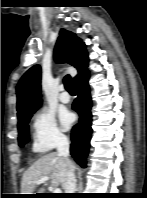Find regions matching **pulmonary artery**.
<instances>
[{
    "label": "pulmonary artery",
    "instance_id": "obj_1",
    "mask_svg": "<svg viewBox=\"0 0 147 198\" xmlns=\"http://www.w3.org/2000/svg\"><path fill=\"white\" fill-rule=\"evenodd\" d=\"M59 100L62 103H69L70 102V95L68 92L65 91L64 87L60 88Z\"/></svg>",
    "mask_w": 147,
    "mask_h": 198
}]
</instances>
